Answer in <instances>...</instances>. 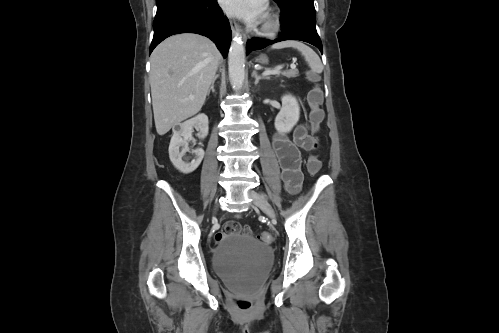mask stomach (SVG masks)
Returning <instances> with one entry per match:
<instances>
[{
  "label": "stomach",
  "instance_id": "obj_1",
  "mask_svg": "<svg viewBox=\"0 0 499 333\" xmlns=\"http://www.w3.org/2000/svg\"><path fill=\"white\" fill-rule=\"evenodd\" d=\"M256 62H258L260 64H266V63H268V59L266 56L261 55L259 58L256 59Z\"/></svg>",
  "mask_w": 499,
  "mask_h": 333
}]
</instances>
